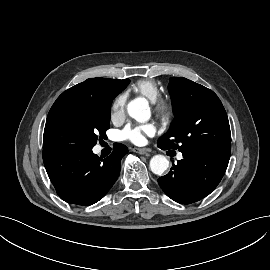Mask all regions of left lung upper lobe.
Wrapping results in <instances>:
<instances>
[{
	"mask_svg": "<svg viewBox=\"0 0 270 270\" xmlns=\"http://www.w3.org/2000/svg\"><path fill=\"white\" fill-rule=\"evenodd\" d=\"M175 118L158 147L192 150H231V132L226 111L210 89L183 77L169 83Z\"/></svg>",
	"mask_w": 270,
	"mask_h": 270,
	"instance_id": "5c2ea615",
	"label": "left lung upper lobe"
}]
</instances>
